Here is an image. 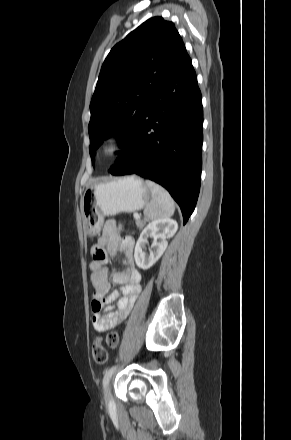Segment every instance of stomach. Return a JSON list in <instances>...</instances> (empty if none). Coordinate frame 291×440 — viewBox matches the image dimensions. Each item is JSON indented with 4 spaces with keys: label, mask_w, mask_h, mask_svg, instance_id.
Instances as JSON below:
<instances>
[{
    "label": "stomach",
    "mask_w": 291,
    "mask_h": 440,
    "mask_svg": "<svg viewBox=\"0 0 291 440\" xmlns=\"http://www.w3.org/2000/svg\"><path fill=\"white\" fill-rule=\"evenodd\" d=\"M151 191L137 176H125L89 186L84 191L81 210L86 232L93 236L102 227L104 216L143 209Z\"/></svg>",
    "instance_id": "stomach-1"
}]
</instances>
